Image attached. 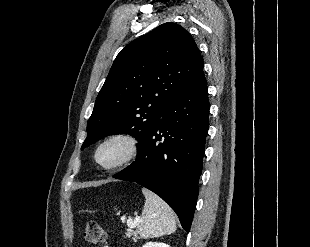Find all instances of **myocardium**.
Instances as JSON below:
<instances>
[{"instance_id": "obj_1", "label": "myocardium", "mask_w": 310, "mask_h": 247, "mask_svg": "<svg viewBox=\"0 0 310 247\" xmlns=\"http://www.w3.org/2000/svg\"><path fill=\"white\" fill-rule=\"evenodd\" d=\"M112 142L122 143L124 145L125 152L117 162L111 165L102 164L99 160V152L106 144ZM139 151H140V144L137 136L131 132L120 131L109 135L99 143L94 153V159L95 162L100 167H102L105 170L112 171L122 168L131 163L138 156Z\"/></svg>"}]
</instances>
